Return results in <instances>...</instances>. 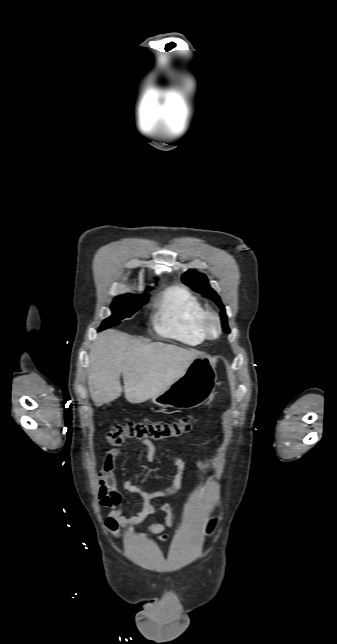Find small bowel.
I'll use <instances>...</instances> for the list:
<instances>
[{
    "label": "small bowel",
    "mask_w": 337,
    "mask_h": 644,
    "mask_svg": "<svg viewBox=\"0 0 337 644\" xmlns=\"http://www.w3.org/2000/svg\"><path fill=\"white\" fill-rule=\"evenodd\" d=\"M138 442L146 448V462L152 463L155 459L158 446L147 439H142ZM165 451L173 455L179 472L178 476L175 478L171 486L164 489L149 491L137 486L132 480H125L122 483V490L124 492L139 496L143 503L142 510L138 514L131 517H125L122 514L121 505L123 502V495L122 492L117 488V481L114 475L115 462L121 456L122 451L120 448H112L106 452L105 460L98 475V481L100 485V504L112 509L106 519L105 526L106 529L114 537L120 538L119 530L121 527H132L142 522L149 514L156 511L165 512L167 514V520L165 524L155 523L148 526L147 530L150 533L162 534L168 527L172 525L173 510L171 506L168 504H163L156 508L151 503L154 498L173 494L178 489L181 483V474L184 470V463L180 459V457L172 450L165 449ZM197 467L207 476H212L207 465L201 460L197 461ZM166 539L167 536L165 534H162L159 537V540L162 542Z\"/></svg>",
    "instance_id": "1"
}]
</instances>
